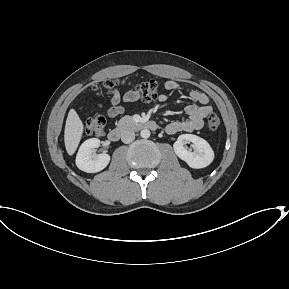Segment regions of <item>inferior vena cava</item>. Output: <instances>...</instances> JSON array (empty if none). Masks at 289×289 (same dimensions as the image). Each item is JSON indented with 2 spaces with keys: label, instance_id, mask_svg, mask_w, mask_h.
Instances as JSON below:
<instances>
[{
  "label": "inferior vena cava",
  "instance_id": "602c4592",
  "mask_svg": "<svg viewBox=\"0 0 289 289\" xmlns=\"http://www.w3.org/2000/svg\"><path fill=\"white\" fill-rule=\"evenodd\" d=\"M135 139V133L132 130H124L121 133V140L123 143H131Z\"/></svg>",
  "mask_w": 289,
  "mask_h": 289
}]
</instances>
